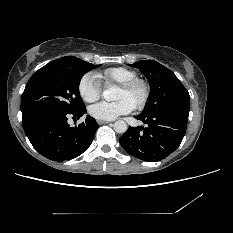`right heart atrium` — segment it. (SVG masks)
<instances>
[{
  "mask_svg": "<svg viewBox=\"0 0 233 233\" xmlns=\"http://www.w3.org/2000/svg\"><path fill=\"white\" fill-rule=\"evenodd\" d=\"M78 90L82 99L89 103L98 100L102 95L101 85L92 73H87L81 78Z\"/></svg>",
  "mask_w": 233,
  "mask_h": 233,
  "instance_id": "obj_1",
  "label": "right heart atrium"
}]
</instances>
